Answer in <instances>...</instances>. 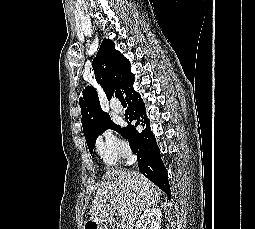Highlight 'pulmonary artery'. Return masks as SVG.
Masks as SVG:
<instances>
[{
    "instance_id": "obj_1",
    "label": "pulmonary artery",
    "mask_w": 255,
    "mask_h": 229,
    "mask_svg": "<svg viewBox=\"0 0 255 229\" xmlns=\"http://www.w3.org/2000/svg\"><path fill=\"white\" fill-rule=\"evenodd\" d=\"M111 108L115 113H122L123 112V107L122 105L117 102V101H112L111 102Z\"/></svg>"
}]
</instances>
